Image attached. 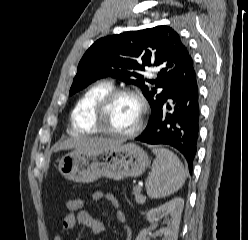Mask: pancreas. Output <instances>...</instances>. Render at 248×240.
<instances>
[{
  "instance_id": "obj_1",
  "label": "pancreas",
  "mask_w": 248,
  "mask_h": 240,
  "mask_svg": "<svg viewBox=\"0 0 248 240\" xmlns=\"http://www.w3.org/2000/svg\"><path fill=\"white\" fill-rule=\"evenodd\" d=\"M133 194L135 195L136 202L139 204L144 203L145 197L141 195V188L134 187L133 188Z\"/></svg>"
}]
</instances>
